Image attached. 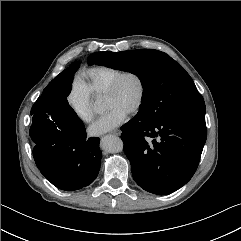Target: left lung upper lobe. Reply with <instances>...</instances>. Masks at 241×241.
Segmentation results:
<instances>
[{
  "mask_svg": "<svg viewBox=\"0 0 241 241\" xmlns=\"http://www.w3.org/2000/svg\"><path fill=\"white\" fill-rule=\"evenodd\" d=\"M96 64L136 74L143 86L137 115L157 121L173 112L205 113V103L183 67L164 52L138 49L122 52H97L88 57Z\"/></svg>",
  "mask_w": 241,
  "mask_h": 241,
  "instance_id": "left-lung-upper-lobe-1",
  "label": "left lung upper lobe"
}]
</instances>
